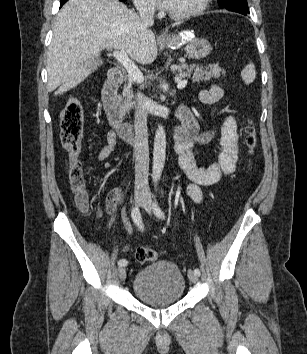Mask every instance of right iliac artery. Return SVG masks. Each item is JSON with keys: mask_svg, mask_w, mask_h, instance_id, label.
Segmentation results:
<instances>
[{"mask_svg": "<svg viewBox=\"0 0 307 354\" xmlns=\"http://www.w3.org/2000/svg\"><path fill=\"white\" fill-rule=\"evenodd\" d=\"M131 216H132L134 223L139 227L140 230L143 231V224L141 221V215H140V211H139L138 207H134L132 209ZM127 264H128V261L126 259H120L118 262V265L120 267L127 266Z\"/></svg>", "mask_w": 307, "mask_h": 354, "instance_id": "82829eb1", "label": "right iliac artery"}]
</instances>
